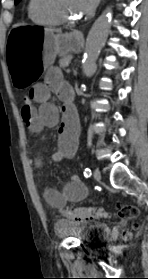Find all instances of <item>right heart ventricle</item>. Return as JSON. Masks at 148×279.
Segmentation results:
<instances>
[{
    "label": "right heart ventricle",
    "mask_w": 148,
    "mask_h": 279,
    "mask_svg": "<svg viewBox=\"0 0 148 279\" xmlns=\"http://www.w3.org/2000/svg\"><path fill=\"white\" fill-rule=\"evenodd\" d=\"M27 11L31 21L39 26H56L60 23L46 11L42 0H28Z\"/></svg>",
    "instance_id": "obj_1"
}]
</instances>
